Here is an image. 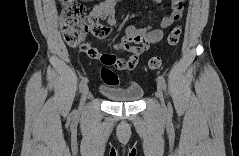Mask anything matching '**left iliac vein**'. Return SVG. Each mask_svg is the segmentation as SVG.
<instances>
[{
  "mask_svg": "<svg viewBox=\"0 0 239 156\" xmlns=\"http://www.w3.org/2000/svg\"><path fill=\"white\" fill-rule=\"evenodd\" d=\"M156 94H157V97L159 98L163 108H165L166 106H165V102H164V95H163V91H162V88L159 83H158Z\"/></svg>",
  "mask_w": 239,
  "mask_h": 156,
  "instance_id": "1",
  "label": "left iliac vein"
}]
</instances>
